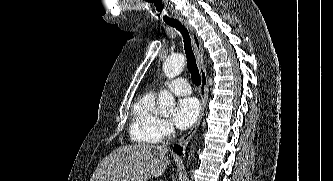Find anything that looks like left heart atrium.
I'll return each mask as SVG.
<instances>
[{
    "mask_svg": "<svg viewBox=\"0 0 333 181\" xmlns=\"http://www.w3.org/2000/svg\"><path fill=\"white\" fill-rule=\"evenodd\" d=\"M200 106L193 97L182 98L177 102L173 122L180 129H187L193 125L199 116Z\"/></svg>",
    "mask_w": 333,
    "mask_h": 181,
    "instance_id": "left-heart-atrium-1",
    "label": "left heart atrium"
}]
</instances>
